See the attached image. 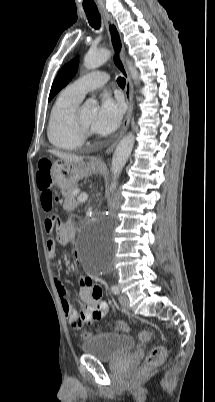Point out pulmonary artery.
<instances>
[{"label": "pulmonary artery", "instance_id": "1", "mask_svg": "<svg viewBox=\"0 0 215 402\" xmlns=\"http://www.w3.org/2000/svg\"><path fill=\"white\" fill-rule=\"evenodd\" d=\"M108 78L105 72H91L80 77L67 88L83 98L89 91L103 86L108 81Z\"/></svg>", "mask_w": 215, "mask_h": 402}]
</instances>
